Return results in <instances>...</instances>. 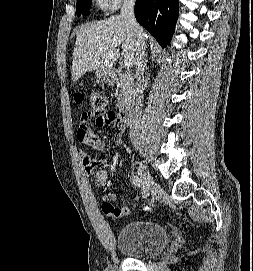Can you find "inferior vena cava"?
Here are the masks:
<instances>
[{
    "label": "inferior vena cava",
    "instance_id": "602c4592",
    "mask_svg": "<svg viewBox=\"0 0 253 271\" xmlns=\"http://www.w3.org/2000/svg\"><path fill=\"white\" fill-rule=\"evenodd\" d=\"M136 0H124L121 8V17L129 24L137 40L136 74L132 103L129 108V135L135 147L139 143V126L141 118V106L143 89L145 87L144 67H145V33L143 28L137 23L134 14Z\"/></svg>",
    "mask_w": 253,
    "mask_h": 271
}]
</instances>
